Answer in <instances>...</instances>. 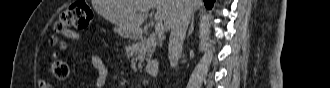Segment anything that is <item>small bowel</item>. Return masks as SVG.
I'll list each match as a JSON object with an SVG mask.
<instances>
[{"label": "small bowel", "mask_w": 330, "mask_h": 88, "mask_svg": "<svg viewBox=\"0 0 330 88\" xmlns=\"http://www.w3.org/2000/svg\"><path fill=\"white\" fill-rule=\"evenodd\" d=\"M64 35L70 39L77 40V41H83L84 36L75 30H68L64 33ZM89 61L93 68L97 71V86L103 87L107 81L108 78V69L103 63L102 59L95 53L91 52L89 53Z\"/></svg>", "instance_id": "c3829d8e"}]
</instances>
